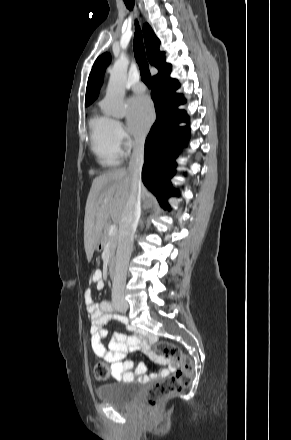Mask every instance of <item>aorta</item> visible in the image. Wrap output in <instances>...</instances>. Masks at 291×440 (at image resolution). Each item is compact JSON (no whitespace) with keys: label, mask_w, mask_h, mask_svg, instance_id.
Wrapping results in <instances>:
<instances>
[{"label":"aorta","mask_w":291,"mask_h":440,"mask_svg":"<svg viewBox=\"0 0 291 440\" xmlns=\"http://www.w3.org/2000/svg\"><path fill=\"white\" fill-rule=\"evenodd\" d=\"M128 66L129 59L125 54H122L115 61L110 72L103 110L114 118H123L126 115L127 108L124 96Z\"/></svg>","instance_id":"aorta-1"}]
</instances>
